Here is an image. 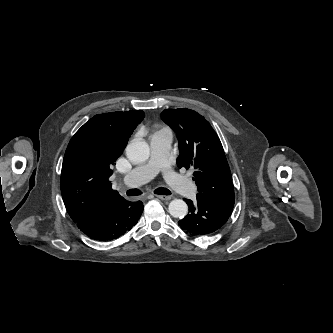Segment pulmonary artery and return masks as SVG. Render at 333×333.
Segmentation results:
<instances>
[{
	"mask_svg": "<svg viewBox=\"0 0 333 333\" xmlns=\"http://www.w3.org/2000/svg\"><path fill=\"white\" fill-rule=\"evenodd\" d=\"M172 135L168 131H158L149 138L150 157L145 163L135 167L123 178L128 187H136L154 178L159 172L163 173L166 182L177 192L189 195L195 187L186 178L174 172L169 166V154Z\"/></svg>",
	"mask_w": 333,
	"mask_h": 333,
	"instance_id": "1",
	"label": "pulmonary artery"
}]
</instances>
